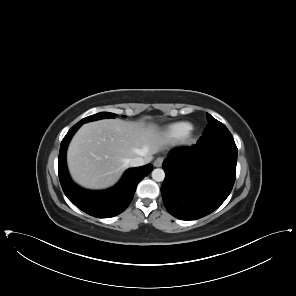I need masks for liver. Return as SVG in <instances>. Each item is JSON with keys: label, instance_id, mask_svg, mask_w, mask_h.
<instances>
[{"label": "liver", "instance_id": "obj_1", "mask_svg": "<svg viewBox=\"0 0 296 296\" xmlns=\"http://www.w3.org/2000/svg\"><path fill=\"white\" fill-rule=\"evenodd\" d=\"M166 144L165 134L155 124L121 119L90 122L70 142L68 168L81 186L105 189L120 179L132 158L142 157L149 163Z\"/></svg>", "mask_w": 296, "mask_h": 296}]
</instances>
